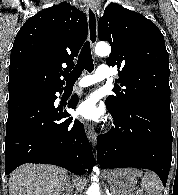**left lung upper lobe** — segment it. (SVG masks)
<instances>
[{
  "mask_svg": "<svg viewBox=\"0 0 178 195\" xmlns=\"http://www.w3.org/2000/svg\"><path fill=\"white\" fill-rule=\"evenodd\" d=\"M98 37L108 41L109 66L118 67L116 88L106 105L115 113L141 106L155 112L171 114L169 55L164 37L145 16L110 3L98 23Z\"/></svg>",
  "mask_w": 178,
  "mask_h": 195,
  "instance_id": "obj_1",
  "label": "left lung upper lobe"
}]
</instances>
